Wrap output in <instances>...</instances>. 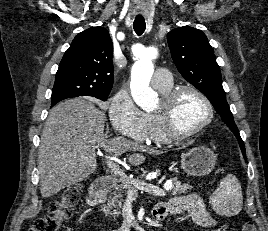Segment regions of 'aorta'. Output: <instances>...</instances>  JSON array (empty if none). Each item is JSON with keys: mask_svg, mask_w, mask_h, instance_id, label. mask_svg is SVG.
Instances as JSON below:
<instances>
[{"mask_svg": "<svg viewBox=\"0 0 268 231\" xmlns=\"http://www.w3.org/2000/svg\"><path fill=\"white\" fill-rule=\"evenodd\" d=\"M157 55V49L153 47L146 48L132 67L131 94L136 104L142 109L153 106L157 98V93L149 86L154 72L152 60Z\"/></svg>", "mask_w": 268, "mask_h": 231, "instance_id": "1", "label": "aorta"}]
</instances>
